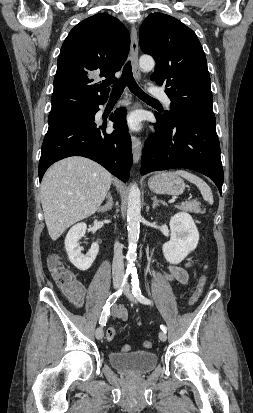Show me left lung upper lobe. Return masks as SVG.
<instances>
[{"instance_id": "obj_1", "label": "left lung upper lobe", "mask_w": 253, "mask_h": 413, "mask_svg": "<svg viewBox=\"0 0 253 413\" xmlns=\"http://www.w3.org/2000/svg\"><path fill=\"white\" fill-rule=\"evenodd\" d=\"M139 41L156 61L151 80L165 86L171 100L163 118L172 122L192 117L216 124L207 61L196 34L172 16L153 13L140 27Z\"/></svg>"}]
</instances>
